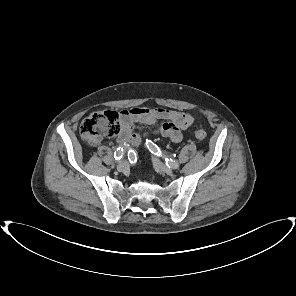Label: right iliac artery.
Segmentation results:
<instances>
[{
    "label": "right iliac artery",
    "mask_w": 296,
    "mask_h": 296,
    "mask_svg": "<svg viewBox=\"0 0 296 296\" xmlns=\"http://www.w3.org/2000/svg\"><path fill=\"white\" fill-rule=\"evenodd\" d=\"M123 148L122 147H119V148H117V150L115 151V153H114V158L116 159V160H120L121 158H122V156H123Z\"/></svg>",
    "instance_id": "obj_1"
}]
</instances>
